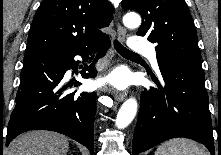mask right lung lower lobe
<instances>
[{
  "label": "right lung lower lobe",
  "instance_id": "98d812e1",
  "mask_svg": "<svg viewBox=\"0 0 221 155\" xmlns=\"http://www.w3.org/2000/svg\"><path fill=\"white\" fill-rule=\"evenodd\" d=\"M109 46L110 40L105 37L80 50L39 49L25 53L17 102L8 123L6 146L25 131L44 129L76 140L93 154L96 94L67 91L73 82L65 84L63 77L67 70H77L76 55L85 58L99 50L95 62L104 56ZM96 74L94 63L81 73L83 78H93ZM80 84L75 81L74 86Z\"/></svg>",
  "mask_w": 221,
  "mask_h": 155
}]
</instances>
